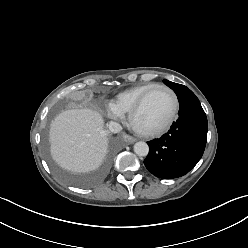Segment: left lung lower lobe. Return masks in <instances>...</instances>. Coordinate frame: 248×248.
Segmentation results:
<instances>
[{
	"label": "left lung lower lobe",
	"instance_id": "obj_1",
	"mask_svg": "<svg viewBox=\"0 0 248 248\" xmlns=\"http://www.w3.org/2000/svg\"><path fill=\"white\" fill-rule=\"evenodd\" d=\"M179 118L168 133L147 142L146 168L155 176L172 179L188 173L203 155L208 123L196 96L185 103L179 100Z\"/></svg>",
	"mask_w": 248,
	"mask_h": 248
}]
</instances>
